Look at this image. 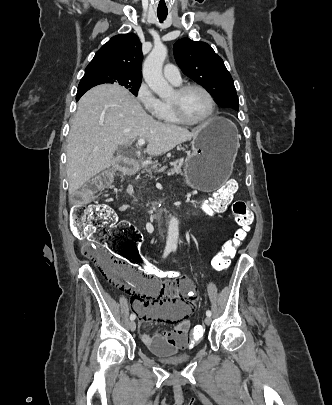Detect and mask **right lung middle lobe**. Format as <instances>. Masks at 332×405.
I'll list each match as a JSON object with an SVG mask.
<instances>
[{"mask_svg":"<svg viewBox=\"0 0 332 405\" xmlns=\"http://www.w3.org/2000/svg\"><path fill=\"white\" fill-rule=\"evenodd\" d=\"M104 83L118 84L125 87L135 96H137V92L141 84V78L131 77L121 72H114L109 70L85 72L83 78L79 83L77 93H85L93 86Z\"/></svg>","mask_w":332,"mask_h":405,"instance_id":"obj_1","label":"right lung middle lobe"}]
</instances>
